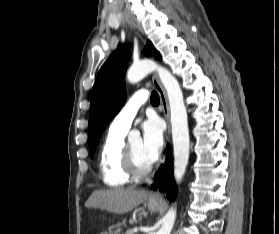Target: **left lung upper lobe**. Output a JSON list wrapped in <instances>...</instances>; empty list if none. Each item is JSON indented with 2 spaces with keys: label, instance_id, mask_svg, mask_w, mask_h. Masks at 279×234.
<instances>
[{
  "label": "left lung upper lobe",
  "instance_id": "1",
  "mask_svg": "<svg viewBox=\"0 0 279 234\" xmlns=\"http://www.w3.org/2000/svg\"><path fill=\"white\" fill-rule=\"evenodd\" d=\"M146 56L161 59L150 41L144 51ZM130 59L129 45L118 46L98 72L91 94L89 115V152L92 158L102 133L126 99L125 72Z\"/></svg>",
  "mask_w": 279,
  "mask_h": 234
}]
</instances>
